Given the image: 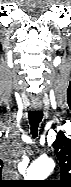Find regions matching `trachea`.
<instances>
[{
    "label": "trachea",
    "mask_w": 71,
    "mask_h": 187,
    "mask_svg": "<svg viewBox=\"0 0 71 187\" xmlns=\"http://www.w3.org/2000/svg\"><path fill=\"white\" fill-rule=\"evenodd\" d=\"M29 124L31 126V134L34 138L38 135V127L43 118L42 111H30L28 114Z\"/></svg>",
    "instance_id": "1"
}]
</instances>
